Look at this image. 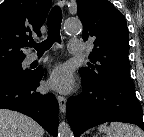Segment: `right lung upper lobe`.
I'll return each mask as SVG.
<instances>
[{"mask_svg":"<svg viewBox=\"0 0 144 137\" xmlns=\"http://www.w3.org/2000/svg\"><path fill=\"white\" fill-rule=\"evenodd\" d=\"M52 0H5L0 5V69L22 62L28 35H41Z\"/></svg>","mask_w":144,"mask_h":137,"instance_id":"right-lung-upper-lobe-1","label":"right lung upper lobe"}]
</instances>
